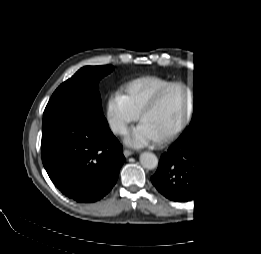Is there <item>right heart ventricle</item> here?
<instances>
[{"label": "right heart ventricle", "mask_w": 261, "mask_h": 254, "mask_svg": "<svg viewBox=\"0 0 261 254\" xmlns=\"http://www.w3.org/2000/svg\"><path fill=\"white\" fill-rule=\"evenodd\" d=\"M169 84V82L160 79L142 78L129 85L126 95L133 109L139 114Z\"/></svg>", "instance_id": "e07e8e85"}]
</instances>
